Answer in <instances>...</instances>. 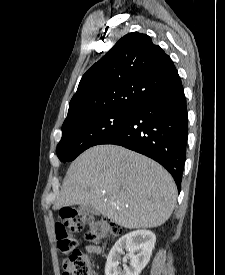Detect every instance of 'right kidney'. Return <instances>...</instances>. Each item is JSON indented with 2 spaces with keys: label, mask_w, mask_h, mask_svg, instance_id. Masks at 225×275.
I'll use <instances>...</instances> for the list:
<instances>
[{
  "label": "right kidney",
  "mask_w": 225,
  "mask_h": 275,
  "mask_svg": "<svg viewBox=\"0 0 225 275\" xmlns=\"http://www.w3.org/2000/svg\"><path fill=\"white\" fill-rule=\"evenodd\" d=\"M155 242L156 236L149 230H136L125 234L117 240L107 257L105 275H139L150 260ZM124 249L129 253L123 262L129 258L130 263L129 266L123 264L121 269L119 264Z\"/></svg>",
  "instance_id": "ca27d5eb"
}]
</instances>
